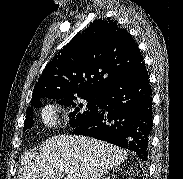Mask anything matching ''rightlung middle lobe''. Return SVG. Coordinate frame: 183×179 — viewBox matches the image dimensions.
I'll return each mask as SVG.
<instances>
[{
  "label": "right lung middle lobe",
  "mask_w": 183,
  "mask_h": 179,
  "mask_svg": "<svg viewBox=\"0 0 183 179\" xmlns=\"http://www.w3.org/2000/svg\"><path fill=\"white\" fill-rule=\"evenodd\" d=\"M79 97L81 99H85L87 104H79L78 106L73 101ZM53 99H58V103L61 105L69 106L72 105L75 107V110L70 113V127L76 128L78 126L83 125L89 119H91L98 111V102H99V94H83L78 96H58L52 97ZM33 106L39 108L41 106V102L38 101ZM33 115L32 107L27 109V115L24 122V129L30 128L33 126V119H30V116Z\"/></svg>",
  "instance_id": "obj_1"
}]
</instances>
